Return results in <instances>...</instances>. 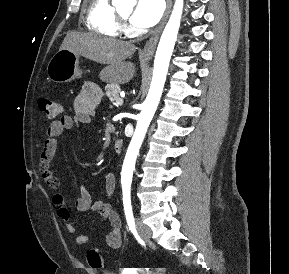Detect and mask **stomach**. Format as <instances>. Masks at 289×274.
<instances>
[{"instance_id":"obj_1","label":"stomach","mask_w":289,"mask_h":274,"mask_svg":"<svg viewBox=\"0 0 289 274\" xmlns=\"http://www.w3.org/2000/svg\"><path fill=\"white\" fill-rule=\"evenodd\" d=\"M148 59L149 57H144V60ZM46 71L48 78L53 82H71L82 74L79 68V55L68 49H60L50 59Z\"/></svg>"}]
</instances>
